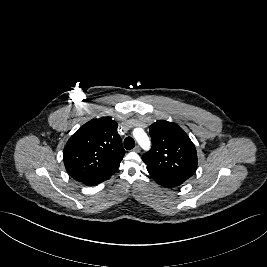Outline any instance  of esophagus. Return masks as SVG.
<instances>
[{
	"label": "esophagus",
	"instance_id": "1",
	"mask_svg": "<svg viewBox=\"0 0 267 267\" xmlns=\"http://www.w3.org/2000/svg\"><path fill=\"white\" fill-rule=\"evenodd\" d=\"M133 151L139 153L141 151L140 146L139 145L135 146L134 149H133Z\"/></svg>",
	"mask_w": 267,
	"mask_h": 267
}]
</instances>
